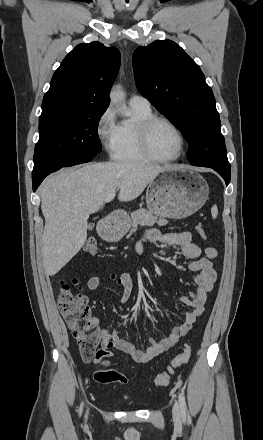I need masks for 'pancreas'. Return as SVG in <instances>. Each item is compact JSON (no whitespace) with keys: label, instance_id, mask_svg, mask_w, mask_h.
<instances>
[{"label":"pancreas","instance_id":"cf45deb5","mask_svg":"<svg viewBox=\"0 0 263 440\" xmlns=\"http://www.w3.org/2000/svg\"><path fill=\"white\" fill-rule=\"evenodd\" d=\"M155 223H157L160 226H163L166 225L168 221L163 218L158 219L157 216H154L150 211L140 208L139 210L131 213L130 227H132V229L130 230V234L135 232L138 225L152 226Z\"/></svg>","mask_w":263,"mask_h":440}]
</instances>
